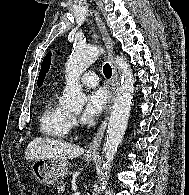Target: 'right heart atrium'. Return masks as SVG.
Returning a JSON list of instances; mask_svg holds the SVG:
<instances>
[{
	"mask_svg": "<svg viewBox=\"0 0 189 195\" xmlns=\"http://www.w3.org/2000/svg\"><path fill=\"white\" fill-rule=\"evenodd\" d=\"M75 124H76V119L73 116H71L70 125L74 126Z\"/></svg>",
	"mask_w": 189,
	"mask_h": 195,
	"instance_id": "d8ad5b80",
	"label": "right heart atrium"
}]
</instances>
